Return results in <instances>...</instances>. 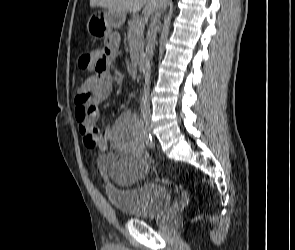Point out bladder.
Listing matches in <instances>:
<instances>
[{
  "instance_id": "31cf9c89",
  "label": "bladder",
  "mask_w": 295,
  "mask_h": 250,
  "mask_svg": "<svg viewBox=\"0 0 295 250\" xmlns=\"http://www.w3.org/2000/svg\"><path fill=\"white\" fill-rule=\"evenodd\" d=\"M118 161L111 153L98 157L99 167L109 181L105 191L111 205L134 219L154 220L160 218L169 208L171 196L168 189L156 181H145L138 185L117 186L113 175H109L112 166Z\"/></svg>"
}]
</instances>
